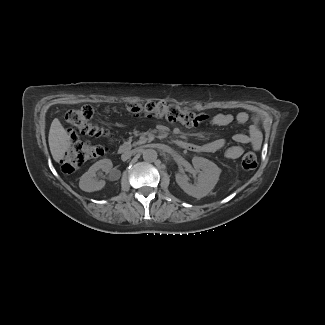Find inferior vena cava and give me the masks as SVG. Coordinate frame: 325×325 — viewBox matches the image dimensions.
Returning a JSON list of instances; mask_svg holds the SVG:
<instances>
[{
	"mask_svg": "<svg viewBox=\"0 0 325 325\" xmlns=\"http://www.w3.org/2000/svg\"><path fill=\"white\" fill-rule=\"evenodd\" d=\"M131 155H132L131 152H126V153L122 154L121 159L123 161H125V160L129 159L131 157Z\"/></svg>",
	"mask_w": 325,
	"mask_h": 325,
	"instance_id": "inferior-vena-cava-1",
	"label": "inferior vena cava"
}]
</instances>
